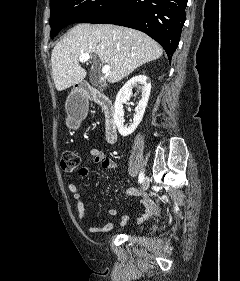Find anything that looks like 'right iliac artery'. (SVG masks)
<instances>
[{
  "label": "right iliac artery",
  "instance_id": "1",
  "mask_svg": "<svg viewBox=\"0 0 240 281\" xmlns=\"http://www.w3.org/2000/svg\"><path fill=\"white\" fill-rule=\"evenodd\" d=\"M143 180H144V174H143V173H140V174H139V178H138V182H139V183H142Z\"/></svg>",
  "mask_w": 240,
  "mask_h": 281
}]
</instances>
